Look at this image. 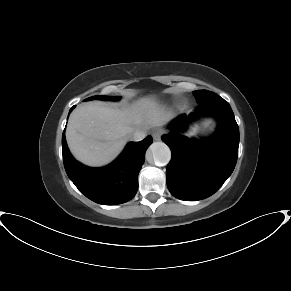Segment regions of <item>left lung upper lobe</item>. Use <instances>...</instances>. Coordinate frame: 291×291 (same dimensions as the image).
Returning <instances> with one entry per match:
<instances>
[{
  "instance_id": "5c2ea615",
  "label": "left lung upper lobe",
  "mask_w": 291,
  "mask_h": 291,
  "mask_svg": "<svg viewBox=\"0 0 291 291\" xmlns=\"http://www.w3.org/2000/svg\"><path fill=\"white\" fill-rule=\"evenodd\" d=\"M196 100L198 102L203 101L204 99L211 97L212 95H215L216 93L208 91V90H196L193 92Z\"/></svg>"
}]
</instances>
